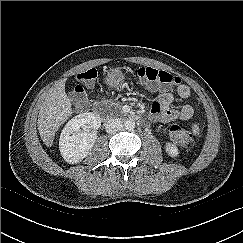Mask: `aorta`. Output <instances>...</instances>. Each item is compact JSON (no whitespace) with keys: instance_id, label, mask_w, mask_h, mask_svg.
<instances>
[{"instance_id":"aorta-1","label":"aorta","mask_w":243,"mask_h":243,"mask_svg":"<svg viewBox=\"0 0 243 243\" xmlns=\"http://www.w3.org/2000/svg\"><path fill=\"white\" fill-rule=\"evenodd\" d=\"M124 128L127 131H132L135 128V121L133 119H128L124 122Z\"/></svg>"}]
</instances>
